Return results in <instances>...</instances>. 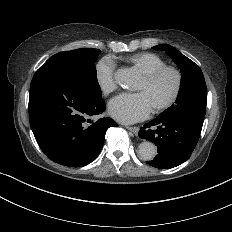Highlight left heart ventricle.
I'll use <instances>...</instances> for the list:
<instances>
[{
  "label": "left heart ventricle",
  "instance_id": "obj_1",
  "mask_svg": "<svg viewBox=\"0 0 232 232\" xmlns=\"http://www.w3.org/2000/svg\"><path fill=\"white\" fill-rule=\"evenodd\" d=\"M175 85L176 77L172 72L168 71L163 73L152 84H147L142 78L135 90L146 92L155 109H157L171 97Z\"/></svg>",
  "mask_w": 232,
  "mask_h": 232
}]
</instances>
